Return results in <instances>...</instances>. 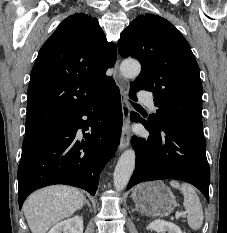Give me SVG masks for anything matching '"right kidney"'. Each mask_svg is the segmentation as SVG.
<instances>
[{
    "label": "right kidney",
    "mask_w": 227,
    "mask_h": 233,
    "mask_svg": "<svg viewBox=\"0 0 227 233\" xmlns=\"http://www.w3.org/2000/svg\"><path fill=\"white\" fill-rule=\"evenodd\" d=\"M48 233H83V219L80 216H74L61 221L53 226Z\"/></svg>",
    "instance_id": "ca27d5eb"
}]
</instances>
